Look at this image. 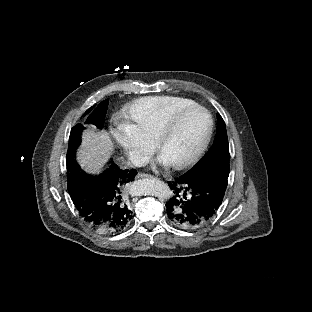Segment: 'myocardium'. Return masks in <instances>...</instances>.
Returning <instances> with one entry per match:
<instances>
[{"instance_id":"obj_1","label":"myocardium","mask_w":312,"mask_h":312,"mask_svg":"<svg viewBox=\"0 0 312 312\" xmlns=\"http://www.w3.org/2000/svg\"><path fill=\"white\" fill-rule=\"evenodd\" d=\"M197 115L203 122L204 132L202 133V138L200 139V146L196 149L192 155L186 159H177L173 162V167L176 170L189 169L193 167L197 162L201 160L209 149L210 139L213 137V132L215 131V122L213 114L210 110L201 104L188 105L178 107L174 113L164 122L163 129L155 144L157 150L162 151L166 148L167 141L171 137V133L177 127V124L181 121V118L186 116Z\"/></svg>"}]
</instances>
